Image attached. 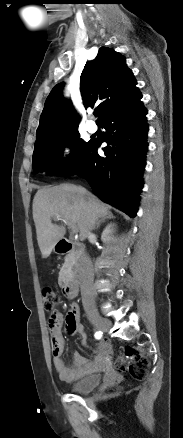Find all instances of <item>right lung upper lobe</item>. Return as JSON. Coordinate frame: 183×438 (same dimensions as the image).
Wrapping results in <instances>:
<instances>
[{
  "instance_id": "cb5924a9",
  "label": "right lung upper lobe",
  "mask_w": 183,
  "mask_h": 438,
  "mask_svg": "<svg viewBox=\"0 0 183 438\" xmlns=\"http://www.w3.org/2000/svg\"><path fill=\"white\" fill-rule=\"evenodd\" d=\"M125 57L113 49L101 47L97 57L86 63L80 77V91L85 107L99 109L100 122L109 112L140 92ZM63 84H57L46 99L36 139L78 129L80 116L62 96Z\"/></svg>"
}]
</instances>
